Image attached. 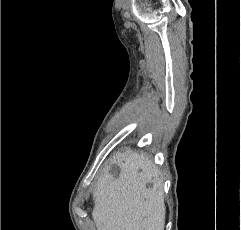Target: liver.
<instances>
[{"instance_id":"6515ba94","label":"liver","mask_w":241,"mask_h":230,"mask_svg":"<svg viewBox=\"0 0 241 230\" xmlns=\"http://www.w3.org/2000/svg\"><path fill=\"white\" fill-rule=\"evenodd\" d=\"M115 161L119 176L106 175L93 194L97 230H164V194L152 160L128 153L116 155Z\"/></svg>"}]
</instances>
